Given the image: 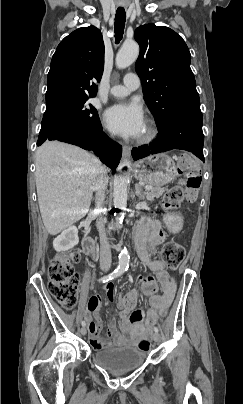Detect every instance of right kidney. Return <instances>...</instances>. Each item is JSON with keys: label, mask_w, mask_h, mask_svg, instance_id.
Wrapping results in <instances>:
<instances>
[{"label": "right kidney", "mask_w": 243, "mask_h": 404, "mask_svg": "<svg viewBox=\"0 0 243 404\" xmlns=\"http://www.w3.org/2000/svg\"><path fill=\"white\" fill-rule=\"evenodd\" d=\"M78 242V230L76 226H70L53 240V248L56 252H66V250H71V248L77 246Z\"/></svg>", "instance_id": "right-kidney-1"}]
</instances>
